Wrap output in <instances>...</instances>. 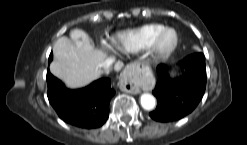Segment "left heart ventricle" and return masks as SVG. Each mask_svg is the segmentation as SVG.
<instances>
[{
    "instance_id": "left-heart-ventricle-1",
    "label": "left heart ventricle",
    "mask_w": 247,
    "mask_h": 145,
    "mask_svg": "<svg viewBox=\"0 0 247 145\" xmlns=\"http://www.w3.org/2000/svg\"><path fill=\"white\" fill-rule=\"evenodd\" d=\"M172 42H173V34L171 32H167L166 34L163 35L161 39V46L168 47L172 44Z\"/></svg>"
}]
</instances>
